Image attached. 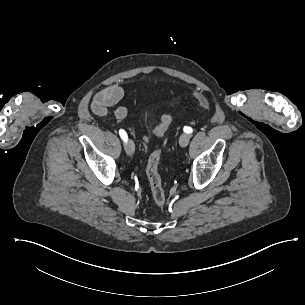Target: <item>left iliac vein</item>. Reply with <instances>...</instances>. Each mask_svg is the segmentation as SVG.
Segmentation results:
<instances>
[{
	"label": "left iliac vein",
	"mask_w": 305,
	"mask_h": 305,
	"mask_svg": "<svg viewBox=\"0 0 305 305\" xmlns=\"http://www.w3.org/2000/svg\"><path fill=\"white\" fill-rule=\"evenodd\" d=\"M190 136L186 133H183L179 138V143L182 147H186L189 144Z\"/></svg>",
	"instance_id": "obj_1"
}]
</instances>
